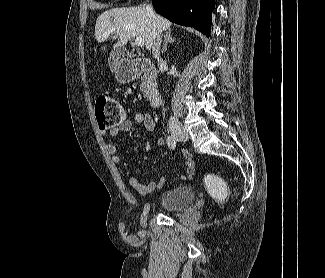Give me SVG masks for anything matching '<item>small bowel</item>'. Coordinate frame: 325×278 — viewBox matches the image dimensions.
Listing matches in <instances>:
<instances>
[{
	"label": "small bowel",
	"mask_w": 325,
	"mask_h": 278,
	"mask_svg": "<svg viewBox=\"0 0 325 278\" xmlns=\"http://www.w3.org/2000/svg\"><path fill=\"white\" fill-rule=\"evenodd\" d=\"M134 121L136 123H140L144 126L145 130L149 133L154 132L155 130V120L152 117V115L150 113L147 112H138L135 114L134 116ZM133 128V121L132 120H125L120 126L111 129V130H102L101 133L103 135H110L113 137L119 136L121 134H125L128 133L132 130ZM157 145L159 147H163L165 145V140L163 138H159L157 140ZM107 148V152L109 153V155L111 156V160L114 164H120L121 163V157L118 154V147L116 144L114 143H109L106 146ZM182 156L185 159L186 162V167H187V172L184 175L181 176H174L171 178H168L164 175L160 176L158 179H156L155 181L149 182L148 184L144 185L142 184L138 179L136 178H131L129 183L130 185L136 189L137 191L144 193V194H148L150 192H152L155 189H162L163 186L167 183V182H177L180 180H187V179H191L193 177V173H194V165L191 159V155L188 151L183 150L181 152ZM141 170V163L137 162L136 166H135V173H139Z\"/></svg>",
	"instance_id": "small-bowel-1"
}]
</instances>
